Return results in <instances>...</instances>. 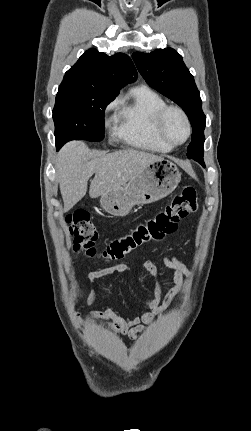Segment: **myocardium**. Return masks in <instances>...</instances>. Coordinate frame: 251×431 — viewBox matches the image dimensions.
<instances>
[{
	"label": "myocardium",
	"mask_w": 251,
	"mask_h": 431,
	"mask_svg": "<svg viewBox=\"0 0 251 431\" xmlns=\"http://www.w3.org/2000/svg\"><path fill=\"white\" fill-rule=\"evenodd\" d=\"M171 111L178 112L182 116V118L186 124V128H187L186 137L182 142H179V143L171 141L167 137L165 130H164L165 119ZM154 128H155V132H156L157 136L159 137V139L162 142H164L166 145H168L172 148L181 146L184 143H186L189 140V138L191 137V133H192L191 122H190V119H189L187 113L181 107L176 106V105H165L164 107H162L158 111V113L156 114V117H155V121H154Z\"/></svg>",
	"instance_id": "obj_1"
}]
</instances>
